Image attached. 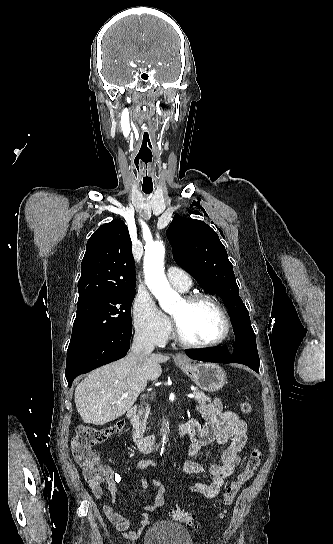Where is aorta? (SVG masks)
I'll use <instances>...</instances> for the list:
<instances>
[{
    "mask_svg": "<svg viewBox=\"0 0 333 544\" xmlns=\"http://www.w3.org/2000/svg\"><path fill=\"white\" fill-rule=\"evenodd\" d=\"M164 245L160 242L149 246L144 256L145 279L148 288L159 301L163 310L169 312L179 302L180 296L169 285L164 273Z\"/></svg>",
    "mask_w": 333,
    "mask_h": 544,
    "instance_id": "aorta-1",
    "label": "aorta"
}]
</instances>
